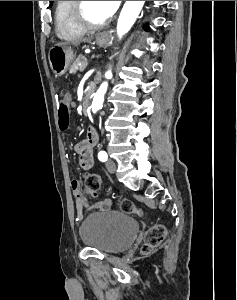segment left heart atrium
I'll use <instances>...</instances> for the list:
<instances>
[{
	"label": "left heart atrium",
	"instance_id": "left-heart-atrium-1",
	"mask_svg": "<svg viewBox=\"0 0 237 300\" xmlns=\"http://www.w3.org/2000/svg\"><path fill=\"white\" fill-rule=\"evenodd\" d=\"M121 1H104L106 8L109 10L110 14H114L118 9Z\"/></svg>",
	"mask_w": 237,
	"mask_h": 300
}]
</instances>
